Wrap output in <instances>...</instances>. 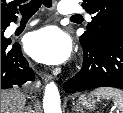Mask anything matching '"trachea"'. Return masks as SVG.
<instances>
[{
	"label": "trachea",
	"mask_w": 123,
	"mask_h": 113,
	"mask_svg": "<svg viewBox=\"0 0 123 113\" xmlns=\"http://www.w3.org/2000/svg\"><path fill=\"white\" fill-rule=\"evenodd\" d=\"M44 5L45 7L50 8L52 6L51 0H31L29 3L20 6L19 10L22 14V18H31L41 7ZM77 17V16H72Z\"/></svg>",
	"instance_id": "trachea-1"
}]
</instances>
